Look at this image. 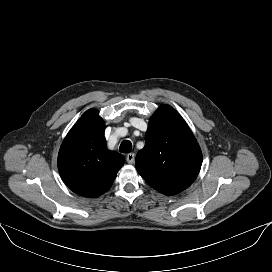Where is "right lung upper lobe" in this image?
Returning a JSON list of instances; mask_svg holds the SVG:
<instances>
[{"label":"right lung upper lobe","instance_id":"right-lung-upper-lobe-1","mask_svg":"<svg viewBox=\"0 0 272 272\" xmlns=\"http://www.w3.org/2000/svg\"><path fill=\"white\" fill-rule=\"evenodd\" d=\"M98 111H86L64 139L58 154L62 180L74 193L92 198L107 192L124 165L123 155L110 151Z\"/></svg>","mask_w":272,"mask_h":272}]
</instances>
